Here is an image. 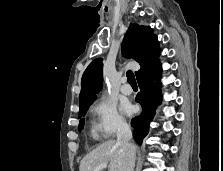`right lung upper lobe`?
I'll use <instances>...</instances> for the list:
<instances>
[{"label":"right lung upper lobe","instance_id":"right-lung-upper-lobe-1","mask_svg":"<svg viewBox=\"0 0 223 171\" xmlns=\"http://www.w3.org/2000/svg\"><path fill=\"white\" fill-rule=\"evenodd\" d=\"M121 50L124 57L133 58L140 64L141 69L135 72L136 77L159 62L158 39L149 26L131 23L124 36ZM102 73L101 59H95L86 68L81 80L80 107L92 104L97 98L96 94L102 89Z\"/></svg>","mask_w":223,"mask_h":171}]
</instances>
